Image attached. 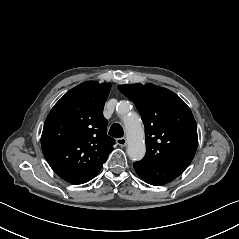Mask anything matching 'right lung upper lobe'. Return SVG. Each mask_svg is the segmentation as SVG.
I'll return each instance as SVG.
<instances>
[{
    "label": "right lung upper lobe",
    "mask_w": 239,
    "mask_h": 239,
    "mask_svg": "<svg viewBox=\"0 0 239 239\" xmlns=\"http://www.w3.org/2000/svg\"><path fill=\"white\" fill-rule=\"evenodd\" d=\"M111 84L82 83L52 108L41 136L43 154L61 178L95 176L113 150L103 108Z\"/></svg>",
    "instance_id": "cb5924a9"
}]
</instances>
